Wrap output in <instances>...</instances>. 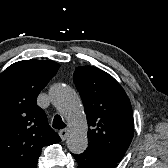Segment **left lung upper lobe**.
I'll use <instances>...</instances> for the list:
<instances>
[{"instance_id": "1", "label": "left lung upper lobe", "mask_w": 168, "mask_h": 168, "mask_svg": "<svg viewBox=\"0 0 168 168\" xmlns=\"http://www.w3.org/2000/svg\"><path fill=\"white\" fill-rule=\"evenodd\" d=\"M74 83L88 121V148L119 162L134 134L130 100L108 73L92 66L75 69Z\"/></svg>"}]
</instances>
